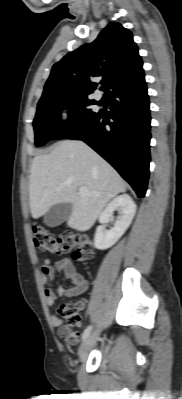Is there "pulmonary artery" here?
<instances>
[{
	"instance_id": "e3ab8cb5",
	"label": "pulmonary artery",
	"mask_w": 182,
	"mask_h": 399,
	"mask_svg": "<svg viewBox=\"0 0 182 399\" xmlns=\"http://www.w3.org/2000/svg\"><path fill=\"white\" fill-rule=\"evenodd\" d=\"M95 97H96L97 99H100V98L102 97V92H101L99 89H97V90L95 91Z\"/></svg>"
}]
</instances>
